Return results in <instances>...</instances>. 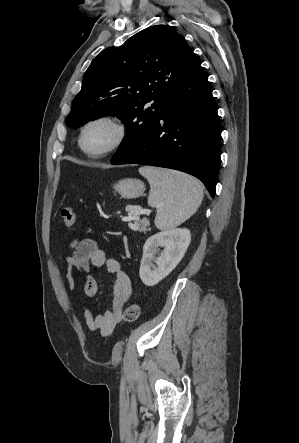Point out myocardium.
<instances>
[{"label": "myocardium", "instance_id": "myocardium-1", "mask_svg": "<svg viewBox=\"0 0 299 443\" xmlns=\"http://www.w3.org/2000/svg\"><path fill=\"white\" fill-rule=\"evenodd\" d=\"M98 123H107L109 125H111L114 130H115V138L112 141V143L106 147L105 149L98 151V152H93L88 150L85 147L84 144V139H85V135L87 130ZM128 133H129V129H128V125L127 123L114 115H101V116H97L91 120H89L82 128L81 133H80V137H79V146L81 148V150L88 155L91 158H102L105 157L115 151H117L118 149H120L123 144L125 143V141L127 140L128 137Z\"/></svg>", "mask_w": 299, "mask_h": 443}]
</instances>
